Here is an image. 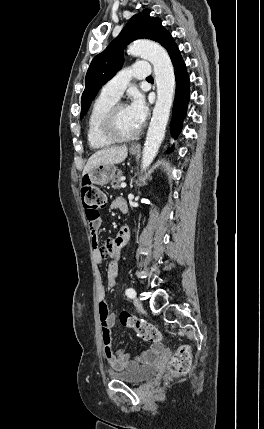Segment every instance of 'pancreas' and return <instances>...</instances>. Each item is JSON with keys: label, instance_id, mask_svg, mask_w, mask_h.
<instances>
[{"label": "pancreas", "instance_id": "pancreas-1", "mask_svg": "<svg viewBox=\"0 0 264 429\" xmlns=\"http://www.w3.org/2000/svg\"><path fill=\"white\" fill-rule=\"evenodd\" d=\"M122 172L119 171L117 175L114 176L111 180V186L113 189H120V182H121Z\"/></svg>", "mask_w": 264, "mask_h": 429}]
</instances>
